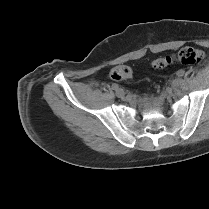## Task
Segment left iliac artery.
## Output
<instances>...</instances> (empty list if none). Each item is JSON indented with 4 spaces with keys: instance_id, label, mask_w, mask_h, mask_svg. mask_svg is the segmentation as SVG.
Wrapping results in <instances>:
<instances>
[{
    "instance_id": "obj_1",
    "label": "left iliac artery",
    "mask_w": 209,
    "mask_h": 209,
    "mask_svg": "<svg viewBox=\"0 0 209 209\" xmlns=\"http://www.w3.org/2000/svg\"><path fill=\"white\" fill-rule=\"evenodd\" d=\"M177 75L180 76V77H182V76L184 75V72H183L182 70H179V71L177 72Z\"/></svg>"
}]
</instances>
